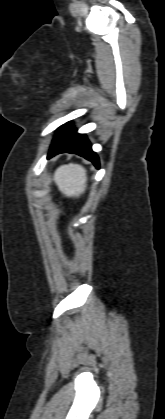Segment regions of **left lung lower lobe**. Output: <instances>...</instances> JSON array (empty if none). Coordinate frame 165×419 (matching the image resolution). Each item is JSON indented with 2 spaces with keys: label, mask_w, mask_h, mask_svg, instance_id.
Masks as SVG:
<instances>
[{
  "label": "left lung lower lobe",
  "mask_w": 165,
  "mask_h": 419,
  "mask_svg": "<svg viewBox=\"0 0 165 419\" xmlns=\"http://www.w3.org/2000/svg\"><path fill=\"white\" fill-rule=\"evenodd\" d=\"M64 152L78 154L93 162L97 168L99 167V158L92 151L91 144L86 136L84 134H77L76 130L70 124L63 125L58 129L48 157Z\"/></svg>",
  "instance_id": "0a47b994"
}]
</instances>
